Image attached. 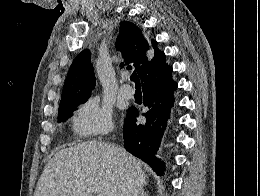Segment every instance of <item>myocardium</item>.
<instances>
[{"mask_svg": "<svg viewBox=\"0 0 260 196\" xmlns=\"http://www.w3.org/2000/svg\"><path fill=\"white\" fill-rule=\"evenodd\" d=\"M50 192H55V190H50Z\"/></svg>", "mask_w": 260, "mask_h": 196, "instance_id": "obj_1", "label": "myocardium"}]
</instances>
